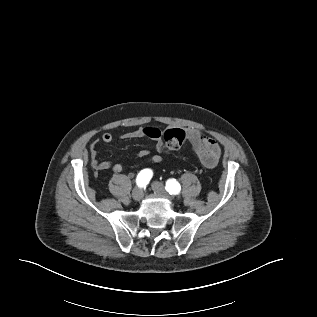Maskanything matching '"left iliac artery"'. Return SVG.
I'll return each instance as SVG.
<instances>
[{
  "mask_svg": "<svg viewBox=\"0 0 317 317\" xmlns=\"http://www.w3.org/2000/svg\"><path fill=\"white\" fill-rule=\"evenodd\" d=\"M166 190L171 195H176L180 193L181 186L175 179H169L166 182Z\"/></svg>",
  "mask_w": 317,
  "mask_h": 317,
  "instance_id": "left-iliac-artery-1",
  "label": "left iliac artery"
}]
</instances>
